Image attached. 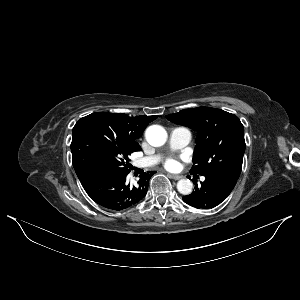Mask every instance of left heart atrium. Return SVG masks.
I'll use <instances>...</instances> for the list:
<instances>
[{"label": "left heart atrium", "instance_id": "obj_1", "mask_svg": "<svg viewBox=\"0 0 300 300\" xmlns=\"http://www.w3.org/2000/svg\"><path fill=\"white\" fill-rule=\"evenodd\" d=\"M164 166L169 170H173L178 167V162L174 158H169L165 161Z\"/></svg>", "mask_w": 300, "mask_h": 300}]
</instances>
